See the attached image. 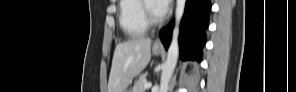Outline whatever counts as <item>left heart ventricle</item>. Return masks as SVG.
I'll return each instance as SVG.
<instances>
[{"mask_svg":"<svg viewBox=\"0 0 296 92\" xmlns=\"http://www.w3.org/2000/svg\"><path fill=\"white\" fill-rule=\"evenodd\" d=\"M151 3H152V2H151ZM151 10H152L153 14H154L156 17H158V16L154 13V11H153V3H152V5H151Z\"/></svg>","mask_w":296,"mask_h":92,"instance_id":"1","label":"left heart ventricle"}]
</instances>
